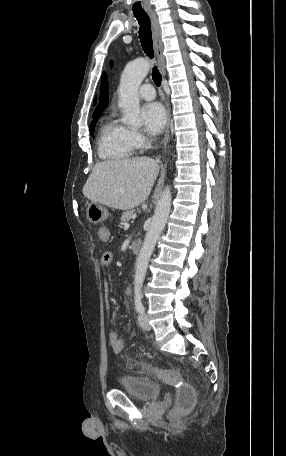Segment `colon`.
Segmentation results:
<instances>
[{"instance_id":"5ec220e1","label":"colon","mask_w":286,"mask_h":456,"mask_svg":"<svg viewBox=\"0 0 286 456\" xmlns=\"http://www.w3.org/2000/svg\"><path fill=\"white\" fill-rule=\"evenodd\" d=\"M143 368L160 380L176 388V404L180 409L188 410L193 406L195 391L193 387L184 384L180 374L176 370L161 369L149 365H143Z\"/></svg>"}]
</instances>
